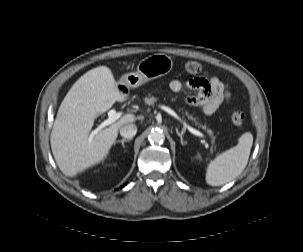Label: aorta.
<instances>
[{
	"label": "aorta",
	"instance_id": "aorta-1",
	"mask_svg": "<svg viewBox=\"0 0 303 252\" xmlns=\"http://www.w3.org/2000/svg\"><path fill=\"white\" fill-rule=\"evenodd\" d=\"M148 140L151 143L161 144L165 140V135L161 129H153L148 135Z\"/></svg>",
	"mask_w": 303,
	"mask_h": 252
}]
</instances>
